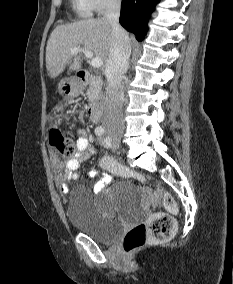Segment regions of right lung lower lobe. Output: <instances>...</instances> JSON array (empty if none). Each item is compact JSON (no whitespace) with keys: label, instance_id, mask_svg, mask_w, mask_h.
Segmentation results:
<instances>
[{"label":"right lung lower lobe","instance_id":"1","mask_svg":"<svg viewBox=\"0 0 233 284\" xmlns=\"http://www.w3.org/2000/svg\"><path fill=\"white\" fill-rule=\"evenodd\" d=\"M159 0H122L119 22L128 31L143 40L147 31V18Z\"/></svg>","mask_w":233,"mask_h":284}]
</instances>
